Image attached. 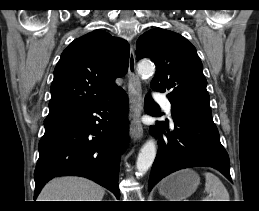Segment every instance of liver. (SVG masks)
Segmentation results:
<instances>
[{"label": "liver", "mask_w": 259, "mask_h": 211, "mask_svg": "<svg viewBox=\"0 0 259 211\" xmlns=\"http://www.w3.org/2000/svg\"><path fill=\"white\" fill-rule=\"evenodd\" d=\"M105 189L81 177H60L48 182L38 201H102Z\"/></svg>", "instance_id": "1"}]
</instances>
